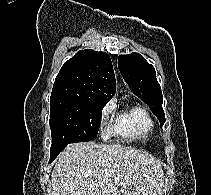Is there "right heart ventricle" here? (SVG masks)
Masks as SVG:
<instances>
[{
	"instance_id": "1",
	"label": "right heart ventricle",
	"mask_w": 211,
	"mask_h": 195,
	"mask_svg": "<svg viewBox=\"0 0 211 195\" xmlns=\"http://www.w3.org/2000/svg\"><path fill=\"white\" fill-rule=\"evenodd\" d=\"M154 129L150 113L142 106H130L119 112L114 120L112 131L127 141H146Z\"/></svg>"
}]
</instances>
